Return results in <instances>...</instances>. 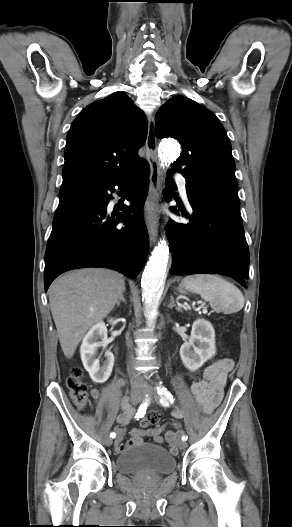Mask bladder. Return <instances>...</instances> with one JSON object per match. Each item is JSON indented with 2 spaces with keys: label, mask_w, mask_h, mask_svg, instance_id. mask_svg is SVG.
I'll use <instances>...</instances> for the list:
<instances>
[{
  "label": "bladder",
  "mask_w": 292,
  "mask_h": 527,
  "mask_svg": "<svg viewBox=\"0 0 292 527\" xmlns=\"http://www.w3.org/2000/svg\"><path fill=\"white\" fill-rule=\"evenodd\" d=\"M115 466L120 473L127 475L159 476L173 472L176 459L161 445L141 443L120 452Z\"/></svg>",
  "instance_id": "bladder-1"
}]
</instances>
